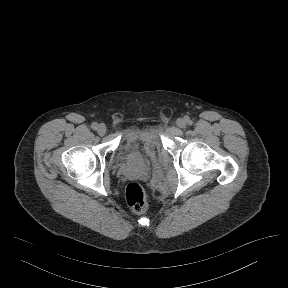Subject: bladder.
Masks as SVG:
<instances>
[{"mask_svg": "<svg viewBox=\"0 0 288 288\" xmlns=\"http://www.w3.org/2000/svg\"><path fill=\"white\" fill-rule=\"evenodd\" d=\"M160 149V140L152 129H134L127 132L116 149V159L134 163L144 157H155Z\"/></svg>", "mask_w": 288, "mask_h": 288, "instance_id": "obj_1", "label": "bladder"}]
</instances>
